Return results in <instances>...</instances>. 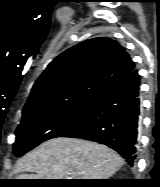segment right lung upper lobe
<instances>
[{
	"label": "right lung upper lobe",
	"mask_w": 160,
	"mask_h": 187,
	"mask_svg": "<svg viewBox=\"0 0 160 187\" xmlns=\"http://www.w3.org/2000/svg\"><path fill=\"white\" fill-rule=\"evenodd\" d=\"M135 69L115 40L93 38L57 56L36 80L23 112L74 99H100Z\"/></svg>",
	"instance_id": "right-lung-upper-lobe-1"
}]
</instances>
